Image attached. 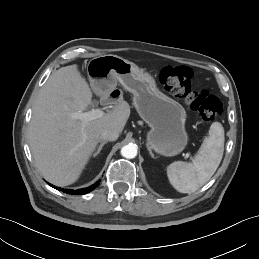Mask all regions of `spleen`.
<instances>
[{
	"label": "spleen",
	"mask_w": 259,
	"mask_h": 259,
	"mask_svg": "<svg viewBox=\"0 0 259 259\" xmlns=\"http://www.w3.org/2000/svg\"><path fill=\"white\" fill-rule=\"evenodd\" d=\"M193 161H177L167 166L171 185L180 193H193L206 184L217 170L224 152V128L219 122L211 124Z\"/></svg>",
	"instance_id": "obj_1"
}]
</instances>
